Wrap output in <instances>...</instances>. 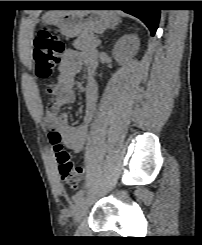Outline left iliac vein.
I'll use <instances>...</instances> for the list:
<instances>
[{
    "instance_id": "4c4485c4",
    "label": "left iliac vein",
    "mask_w": 202,
    "mask_h": 245,
    "mask_svg": "<svg viewBox=\"0 0 202 245\" xmlns=\"http://www.w3.org/2000/svg\"><path fill=\"white\" fill-rule=\"evenodd\" d=\"M88 210V201L85 197H81L73 208V220L75 223L81 221L83 216L86 214Z\"/></svg>"
}]
</instances>
